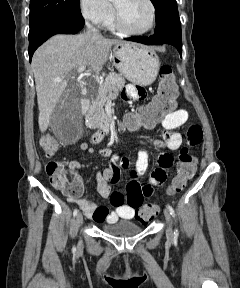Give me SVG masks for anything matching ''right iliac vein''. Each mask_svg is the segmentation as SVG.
<instances>
[{"instance_id":"1","label":"right iliac vein","mask_w":240,"mask_h":288,"mask_svg":"<svg viewBox=\"0 0 240 288\" xmlns=\"http://www.w3.org/2000/svg\"><path fill=\"white\" fill-rule=\"evenodd\" d=\"M76 223L78 226L82 225L83 223V216H82V213H78L77 216H76ZM81 244V241L80 243Z\"/></svg>"}]
</instances>
